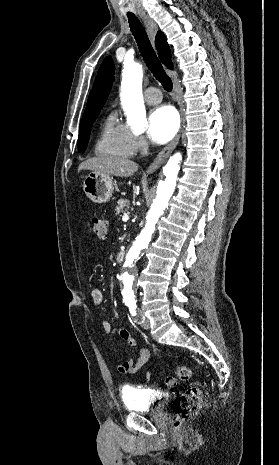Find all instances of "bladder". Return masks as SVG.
Returning <instances> with one entry per match:
<instances>
[{
    "label": "bladder",
    "mask_w": 279,
    "mask_h": 465,
    "mask_svg": "<svg viewBox=\"0 0 279 465\" xmlns=\"http://www.w3.org/2000/svg\"><path fill=\"white\" fill-rule=\"evenodd\" d=\"M125 408L130 412L162 413L169 401V396L140 386H125L121 390Z\"/></svg>",
    "instance_id": "obj_1"
}]
</instances>
